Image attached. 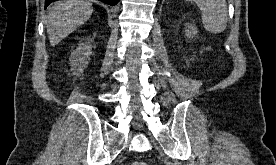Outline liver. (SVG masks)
<instances>
[{"label":"liver","mask_w":276,"mask_h":165,"mask_svg":"<svg viewBox=\"0 0 276 165\" xmlns=\"http://www.w3.org/2000/svg\"><path fill=\"white\" fill-rule=\"evenodd\" d=\"M92 13V4L85 0H61L51 4L45 20L51 46L84 24Z\"/></svg>","instance_id":"obj_1"}]
</instances>
